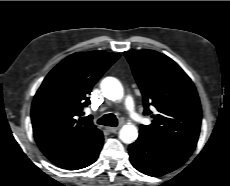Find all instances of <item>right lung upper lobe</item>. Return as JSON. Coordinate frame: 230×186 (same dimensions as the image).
<instances>
[{"label":"right lung upper lobe","instance_id":"1","mask_svg":"<svg viewBox=\"0 0 230 186\" xmlns=\"http://www.w3.org/2000/svg\"><path fill=\"white\" fill-rule=\"evenodd\" d=\"M119 56L105 51L74 53L44 79L32 103L31 120L40 150L54 164L73 166L103 140L91 119L81 115L93 85Z\"/></svg>","mask_w":230,"mask_h":186}]
</instances>
